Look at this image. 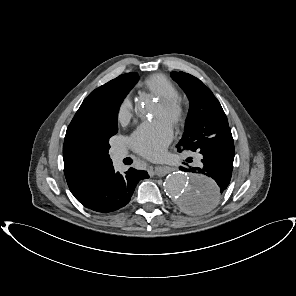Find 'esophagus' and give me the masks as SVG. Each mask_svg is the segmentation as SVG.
<instances>
[{
  "mask_svg": "<svg viewBox=\"0 0 296 296\" xmlns=\"http://www.w3.org/2000/svg\"><path fill=\"white\" fill-rule=\"evenodd\" d=\"M171 171H172V169L169 167L156 166L152 172L154 175L164 176V175L170 173Z\"/></svg>",
  "mask_w": 296,
  "mask_h": 296,
  "instance_id": "1",
  "label": "esophagus"
}]
</instances>
